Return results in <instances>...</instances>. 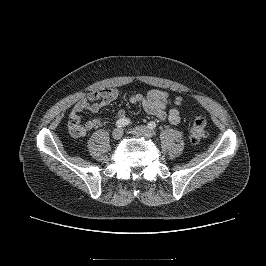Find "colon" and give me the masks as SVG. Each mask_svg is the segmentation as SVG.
Returning a JSON list of instances; mask_svg holds the SVG:
<instances>
[{
  "label": "colon",
  "mask_w": 266,
  "mask_h": 266,
  "mask_svg": "<svg viewBox=\"0 0 266 266\" xmlns=\"http://www.w3.org/2000/svg\"><path fill=\"white\" fill-rule=\"evenodd\" d=\"M207 136V122L206 119L197 114L194 117L193 123L190 128V141L193 144L200 143Z\"/></svg>",
  "instance_id": "5ec220e1"
}]
</instances>
